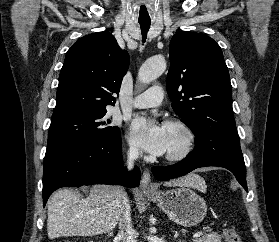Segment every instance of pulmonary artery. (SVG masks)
Masks as SVG:
<instances>
[{"label": "pulmonary artery", "instance_id": "1", "mask_svg": "<svg viewBox=\"0 0 279 242\" xmlns=\"http://www.w3.org/2000/svg\"><path fill=\"white\" fill-rule=\"evenodd\" d=\"M163 100V91L159 86L152 87L144 93L137 96L132 101V107L134 108H149L156 107L161 104Z\"/></svg>", "mask_w": 279, "mask_h": 242}]
</instances>
